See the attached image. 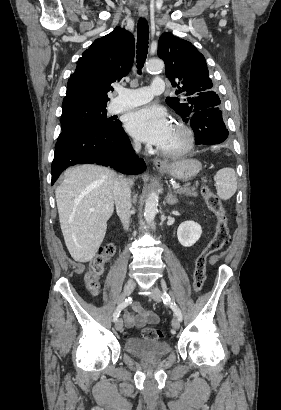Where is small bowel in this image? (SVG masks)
I'll return each instance as SVG.
<instances>
[{"label": "small bowel", "instance_id": "obj_1", "mask_svg": "<svg viewBox=\"0 0 281 410\" xmlns=\"http://www.w3.org/2000/svg\"><path fill=\"white\" fill-rule=\"evenodd\" d=\"M125 323L129 327H142L147 324H157L159 316L139 304L133 306V312L124 315Z\"/></svg>", "mask_w": 281, "mask_h": 410}]
</instances>
